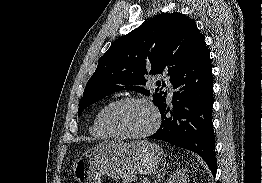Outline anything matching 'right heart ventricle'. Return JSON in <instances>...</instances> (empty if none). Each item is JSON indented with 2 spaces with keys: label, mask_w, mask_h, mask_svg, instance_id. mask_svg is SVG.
Masks as SVG:
<instances>
[{
  "label": "right heart ventricle",
  "mask_w": 262,
  "mask_h": 183,
  "mask_svg": "<svg viewBox=\"0 0 262 183\" xmlns=\"http://www.w3.org/2000/svg\"><path fill=\"white\" fill-rule=\"evenodd\" d=\"M107 105L108 104H105L102 107H100V109L95 114V116L92 120V123L90 125V128H89L91 135L94 136L97 139H107V138L110 137V135H108L106 133V131L103 129V127L101 125V114H102V111L104 110V108Z\"/></svg>",
  "instance_id": "obj_1"
}]
</instances>
